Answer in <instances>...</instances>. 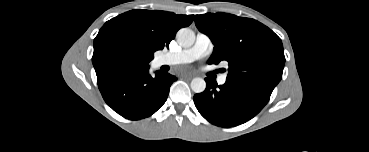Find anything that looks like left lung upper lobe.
Here are the masks:
<instances>
[{
  "label": "left lung upper lobe",
  "mask_w": 369,
  "mask_h": 152,
  "mask_svg": "<svg viewBox=\"0 0 369 152\" xmlns=\"http://www.w3.org/2000/svg\"><path fill=\"white\" fill-rule=\"evenodd\" d=\"M197 28L214 44L209 64L228 62L227 80L275 88L285 56L281 39L262 23L228 13L195 16Z\"/></svg>",
  "instance_id": "1"
}]
</instances>
